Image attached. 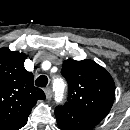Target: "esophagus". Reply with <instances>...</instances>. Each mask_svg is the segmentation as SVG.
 I'll use <instances>...</instances> for the list:
<instances>
[{
  "mask_svg": "<svg viewBox=\"0 0 130 130\" xmlns=\"http://www.w3.org/2000/svg\"><path fill=\"white\" fill-rule=\"evenodd\" d=\"M44 92H45L46 98H47L48 100H50L51 97H52V91H51V89H50V88H46V89L44 90Z\"/></svg>",
  "mask_w": 130,
  "mask_h": 130,
  "instance_id": "1",
  "label": "esophagus"
}]
</instances>
